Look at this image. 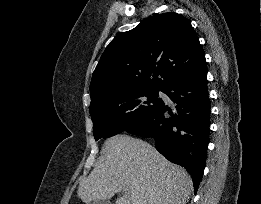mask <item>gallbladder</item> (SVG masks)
<instances>
[{"instance_id": "1", "label": "gallbladder", "mask_w": 261, "mask_h": 204, "mask_svg": "<svg viewBox=\"0 0 261 204\" xmlns=\"http://www.w3.org/2000/svg\"><path fill=\"white\" fill-rule=\"evenodd\" d=\"M91 204H111L109 200H96L93 201Z\"/></svg>"}]
</instances>
